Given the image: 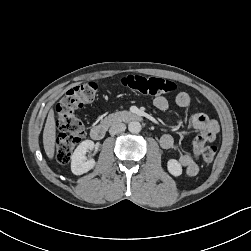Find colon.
Returning a JSON list of instances; mask_svg holds the SVG:
<instances>
[{
  "instance_id": "1",
  "label": "colon",
  "mask_w": 251,
  "mask_h": 251,
  "mask_svg": "<svg viewBox=\"0 0 251 251\" xmlns=\"http://www.w3.org/2000/svg\"><path fill=\"white\" fill-rule=\"evenodd\" d=\"M121 85L129 90L144 95L169 94L176 89L174 82L140 75H128L120 80ZM98 86L94 82L79 83L65 92L56 106L57 127L60 134L56 141V159L61 164L70 161L72 152L81 141L84 134V126L77 116V110L92 103L97 95ZM217 147L206 146L202 149L201 155L205 162L214 160Z\"/></svg>"
}]
</instances>
